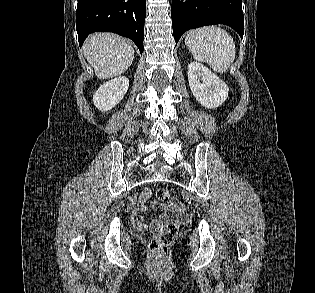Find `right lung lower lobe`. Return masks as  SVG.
I'll return each mask as SVG.
<instances>
[{
  "label": "right lung lower lobe",
  "instance_id": "right-lung-lower-lobe-1",
  "mask_svg": "<svg viewBox=\"0 0 315 293\" xmlns=\"http://www.w3.org/2000/svg\"><path fill=\"white\" fill-rule=\"evenodd\" d=\"M146 0H78L76 30L82 46L93 32H113L130 38L143 52Z\"/></svg>",
  "mask_w": 315,
  "mask_h": 293
}]
</instances>
